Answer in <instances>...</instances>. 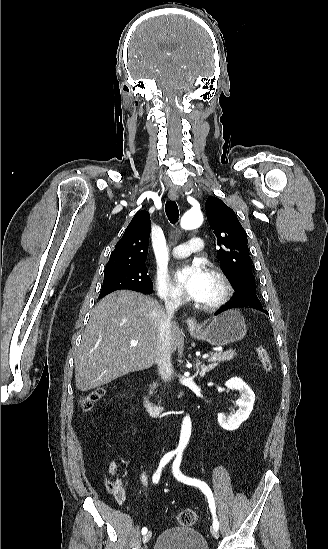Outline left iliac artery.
I'll return each instance as SVG.
<instances>
[{"label": "left iliac artery", "mask_w": 328, "mask_h": 549, "mask_svg": "<svg viewBox=\"0 0 328 549\" xmlns=\"http://www.w3.org/2000/svg\"><path fill=\"white\" fill-rule=\"evenodd\" d=\"M181 459H182L181 455H177L176 459L173 462V467L172 468H173L174 476L176 477V479H178L179 481H181L183 483L199 487L202 490V492L207 496L209 507H210L211 513L213 515V528L215 530H218L219 529V522L216 518L215 501H214V497H213L211 489L203 481H200V480L195 479V478L192 479V478H189L187 476H184L181 473L180 469H179Z\"/></svg>", "instance_id": "44dca946"}]
</instances>
